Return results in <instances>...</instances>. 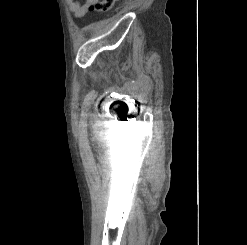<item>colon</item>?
I'll return each mask as SVG.
<instances>
[{
  "mask_svg": "<svg viewBox=\"0 0 247 245\" xmlns=\"http://www.w3.org/2000/svg\"><path fill=\"white\" fill-rule=\"evenodd\" d=\"M116 0H94V2L90 5V10L95 12H107L109 11Z\"/></svg>",
  "mask_w": 247,
  "mask_h": 245,
  "instance_id": "5ec220e1",
  "label": "colon"
}]
</instances>
